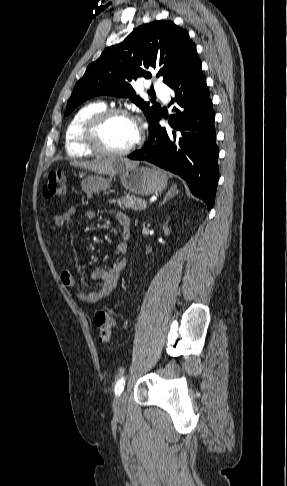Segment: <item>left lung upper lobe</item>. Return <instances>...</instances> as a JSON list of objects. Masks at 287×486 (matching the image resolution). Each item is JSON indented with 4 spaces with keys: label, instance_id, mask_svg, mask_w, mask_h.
<instances>
[{
    "label": "left lung upper lobe",
    "instance_id": "1",
    "mask_svg": "<svg viewBox=\"0 0 287 486\" xmlns=\"http://www.w3.org/2000/svg\"><path fill=\"white\" fill-rule=\"evenodd\" d=\"M198 57L186 30L172 21L159 20L139 26L125 40L104 50L77 82L67 103L66 115L85 100L97 95L129 97L139 106L149 125L161 114V106L135 95L132 84L140 77H157L169 85Z\"/></svg>",
    "mask_w": 287,
    "mask_h": 486
}]
</instances>
